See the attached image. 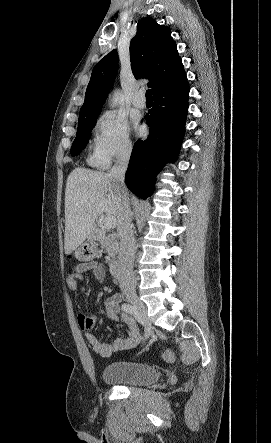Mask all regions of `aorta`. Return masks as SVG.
Returning <instances> with one entry per match:
<instances>
[{"label":"aorta","mask_w":271,"mask_h":443,"mask_svg":"<svg viewBox=\"0 0 271 443\" xmlns=\"http://www.w3.org/2000/svg\"><path fill=\"white\" fill-rule=\"evenodd\" d=\"M124 96L121 92V90H116L113 98H112V102H111V106L112 108H115V106H117V104H120V102H122Z\"/></svg>","instance_id":"762f6f07"}]
</instances>
